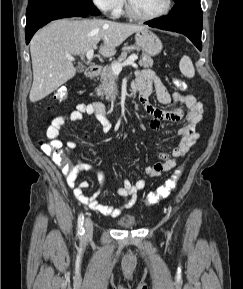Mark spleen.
<instances>
[{
  "mask_svg": "<svg viewBox=\"0 0 243 289\" xmlns=\"http://www.w3.org/2000/svg\"><path fill=\"white\" fill-rule=\"evenodd\" d=\"M179 68L181 73L188 78H193L195 75V69L193 66V63L191 61V59L187 56L184 55L179 63Z\"/></svg>",
  "mask_w": 243,
  "mask_h": 289,
  "instance_id": "spleen-1",
  "label": "spleen"
}]
</instances>
